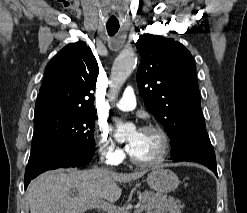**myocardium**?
Instances as JSON below:
<instances>
[{
	"instance_id": "myocardium-1",
	"label": "myocardium",
	"mask_w": 247,
	"mask_h": 213,
	"mask_svg": "<svg viewBox=\"0 0 247 213\" xmlns=\"http://www.w3.org/2000/svg\"><path fill=\"white\" fill-rule=\"evenodd\" d=\"M142 131L154 132V133L159 135V137L161 139V143H162L161 151L155 159L150 160V161L139 160V159L135 158L130 152H129V159L133 164H135L137 166H141V167L158 166L161 163H163L169 155V152L171 149L170 137L162 127L157 126V125L145 126L142 129Z\"/></svg>"
}]
</instances>
